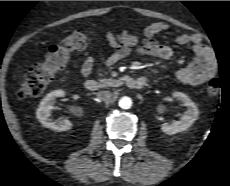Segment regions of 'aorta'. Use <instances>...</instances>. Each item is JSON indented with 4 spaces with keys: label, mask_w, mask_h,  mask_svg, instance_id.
<instances>
[{
    "label": "aorta",
    "mask_w": 230,
    "mask_h": 186,
    "mask_svg": "<svg viewBox=\"0 0 230 186\" xmlns=\"http://www.w3.org/2000/svg\"><path fill=\"white\" fill-rule=\"evenodd\" d=\"M119 106L122 108V109H129L131 108L132 106V100L131 98L129 97H122L120 100H119Z\"/></svg>",
    "instance_id": "762f6f07"
}]
</instances>
